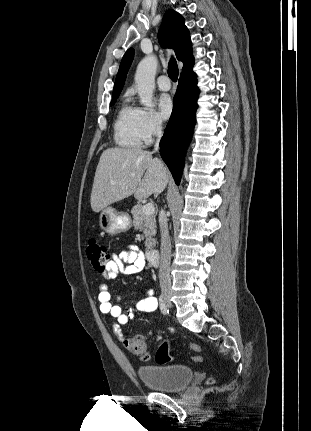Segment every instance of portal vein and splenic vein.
Segmentation results:
<instances>
[{"label": "portal vein and splenic vein", "instance_id": "obj_1", "mask_svg": "<svg viewBox=\"0 0 311 431\" xmlns=\"http://www.w3.org/2000/svg\"><path fill=\"white\" fill-rule=\"evenodd\" d=\"M154 206L153 204H145V206H143V214H145V216H150V214H154Z\"/></svg>", "mask_w": 311, "mask_h": 431}]
</instances>
